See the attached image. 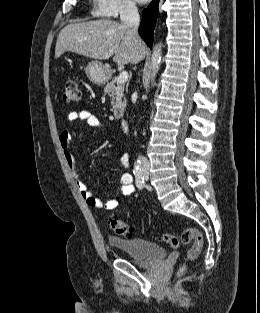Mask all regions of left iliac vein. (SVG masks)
<instances>
[{"mask_svg": "<svg viewBox=\"0 0 260 313\" xmlns=\"http://www.w3.org/2000/svg\"><path fill=\"white\" fill-rule=\"evenodd\" d=\"M144 176H145V179L148 180V172L147 171H145Z\"/></svg>", "mask_w": 260, "mask_h": 313, "instance_id": "left-iliac-vein-1", "label": "left iliac vein"}]
</instances>
